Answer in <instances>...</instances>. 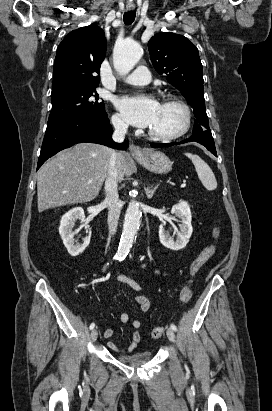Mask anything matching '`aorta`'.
Returning a JSON list of instances; mask_svg holds the SVG:
<instances>
[{
	"instance_id": "obj_1",
	"label": "aorta",
	"mask_w": 272,
	"mask_h": 411,
	"mask_svg": "<svg viewBox=\"0 0 272 411\" xmlns=\"http://www.w3.org/2000/svg\"><path fill=\"white\" fill-rule=\"evenodd\" d=\"M143 54L139 43L135 41H125L114 48L113 64L114 68L120 75L128 74L135 64L141 59ZM142 213L139 204L131 201L126 210L125 219L123 222V230L116 252L117 260H124L135 240L138 228L140 226Z\"/></svg>"
}]
</instances>
